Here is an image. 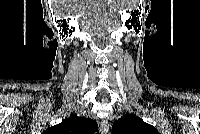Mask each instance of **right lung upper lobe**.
Returning a JSON list of instances; mask_svg holds the SVG:
<instances>
[{
	"mask_svg": "<svg viewBox=\"0 0 200 134\" xmlns=\"http://www.w3.org/2000/svg\"><path fill=\"white\" fill-rule=\"evenodd\" d=\"M97 130V124L89 118L71 115L60 124L46 130V134H93Z\"/></svg>",
	"mask_w": 200,
	"mask_h": 134,
	"instance_id": "1",
	"label": "right lung upper lobe"
}]
</instances>
